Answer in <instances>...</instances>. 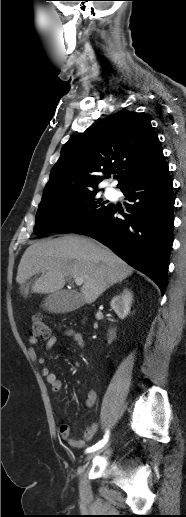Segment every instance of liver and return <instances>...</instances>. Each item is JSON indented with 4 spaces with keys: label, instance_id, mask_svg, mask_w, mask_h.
Masks as SVG:
<instances>
[{
    "label": "liver",
    "instance_id": "1",
    "mask_svg": "<svg viewBox=\"0 0 186 517\" xmlns=\"http://www.w3.org/2000/svg\"><path fill=\"white\" fill-rule=\"evenodd\" d=\"M40 272L33 292L53 294L64 287L68 277H81L83 300L91 304L111 285L130 276L133 268L94 240L67 235L37 241L26 249L16 277L23 295L29 293L26 281Z\"/></svg>",
    "mask_w": 186,
    "mask_h": 517
}]
</instances>
